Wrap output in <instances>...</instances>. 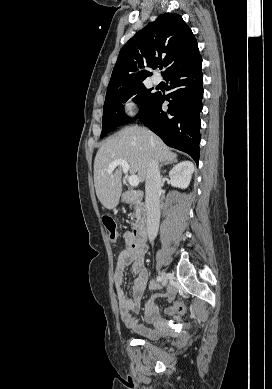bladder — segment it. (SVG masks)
<instances>
[{"instance_id":"31cf9c89","label":"bladder","mask_w":272,"mask_h":389,"mask_svg":"<svg viewBox=\"0 0 272 389\" xmlns=\"http://www.w3.org/2000/svg\"><path fill=\"white\" fill-rule=\"evenodd\" d=\"M165 335H166V333H164V332H156L153 336H150L149 339L156 341V342H160Z\"/></svg>"}]
</instances>
